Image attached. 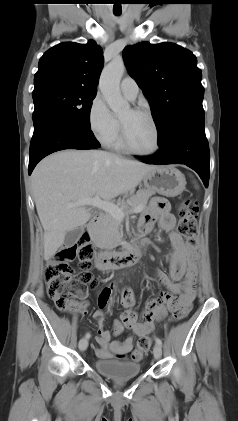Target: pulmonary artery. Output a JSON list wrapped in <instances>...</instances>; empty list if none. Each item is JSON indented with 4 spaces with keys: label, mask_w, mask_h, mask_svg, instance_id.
<instances>
[{
    "label": "pulmonary artery",
    "mask_w": 238,
    "mask_h": 421,
    "mask_svg": "<svg viewBox=\"0 0 238 421\" xmlns=\"http://www.w3.org/2000/svg\"><path fill=\"white\" fill-rule=\"evenodd\" d=\"M120 89L123 95L129 100H134L139 92V87L136 81L131 77H125L121 81Z\"/></svg>",
    "instance_id": "1"
}]
</instances>
